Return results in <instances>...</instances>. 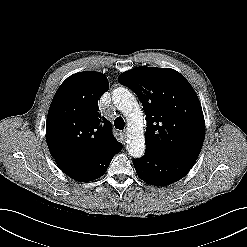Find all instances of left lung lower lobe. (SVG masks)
<instances>
[{
    "instance_id": "left-lung-lower-lobe-1",
    "label": "left lung lower lobe",
    "mask_w": 247,
    "mask_h": 247,
    "mask_svg": "<svg viewBox=\"0 0 247 247\" xmlns=\"http://www.w3.org/2000/svg\"><path fill=\"white\" fill-rule=\"evenodd\" d=\"M138 176L155 186L172 184L183 178L194 165L190 159L168 157L146 150L145 156L134 160Z\"/></svg>"
}]
</instances>
